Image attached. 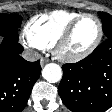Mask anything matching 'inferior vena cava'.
Returning <instances> with one entry per match:
<instances>
[{
    "mask_svg": "<svg viewBox=\"0 0 112 112\" xmlns=\"http://www.w3.org/2000/svg\"><path fill=\"white\" fill-rule=\"evenodd\" d=\"M22 57L27 61L33 62L40 58V54L34 50H26L22 53Z\"/></svg>",
    "mask_w": 112,
    "mask_h": 112,
    "instance_id": "602c4592",
    "label": "inferior vena cava"
}]
</instances>
